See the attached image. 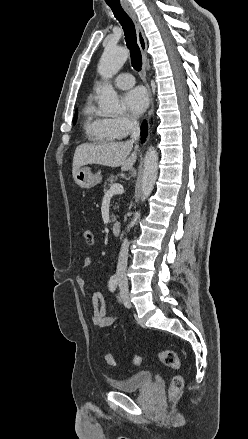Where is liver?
Returning <instances> with one entry per match:
<instances>
[{"label": "liver", "instance_id": "liver-1", "mask_svg": "<svg viewBox=\"0 0 248 439\" xmlns=\"http://www.w3.org/2000/svg\"><path fill=\"white\" fill-rule=\"evenodd\" d=\"M132 149L133 143L130 141L81 144L76 147L73 157V177L80 168L88 164L120 166L123 171H128L137 159L136 151L128 157Z\"/></svg>", "mask_w": 248, "mask_h": 439}]
</instances>
